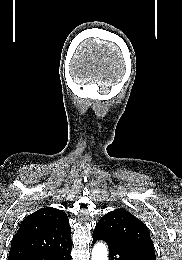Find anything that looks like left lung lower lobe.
Returning <instances> with one entry per match:
<instances>
[{
	"mask_svg": "<svg viewBox=\"0 0 182 260\" xmlns=\"http://www.w3.org/2000/svg\"><path fill=\"white\" fill-rule=\"evenodd\" d=\"M108 244L109 260H156L155 253L146 248L131 244L102 231H93V244L97 241Z\"/></svg>",
	"mask_w": 182,
	"mask_h": 260,
	"instance_id": "obj_1",
	"label": "left lung lower lobe"
}]
</instances>
